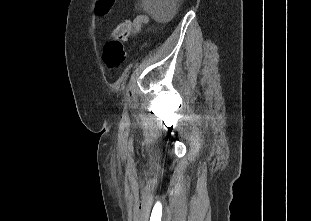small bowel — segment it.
<instances>
[{
	"mask_svg": "<svg viewBox=\"0 0 311 221\" xmlns=\"http://www.w3.org/2000/svg\"><path fill=\"white\" fill-rule=\"evenodd\" d=\"M150 21L149 17L146 15H139L133 21V31L139 32L141 28Z\"/></svg>",
	"mask_w": 311,
	"mask_h": 221,
	"instance_id": "c3829d8e",
	"label": "small bowel"
}]
</instances>
